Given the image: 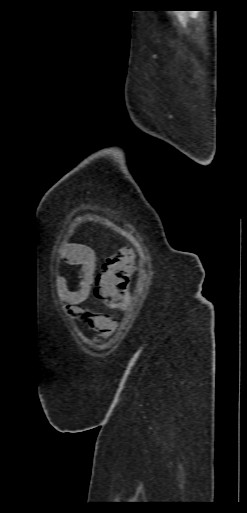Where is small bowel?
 Segmentation results:
<instances>
[{
	"mask_svg": "<svg viewBox=\"0 0 247 513\" xmlns=\"http://www.w3.org/2000/svg\"><path fill=\"white\" fill-rule=\"evenodd\" d=\"M60 259L71 266H80V281L76 289H72L65 275L55 277V286L60 299L65 303V310L75 318H83L99 332L98 341L110 337L116 327V320L108 315H98L83 304L88 300L93 286L95 267L94 255L78 244L64 245L60 250Z\"/></svg>",
	"mask_w": 247,
	"mask_h": 513,
	"instance_id": "c3829d8e",
	"label": "small bowel"
}]
</instances>
